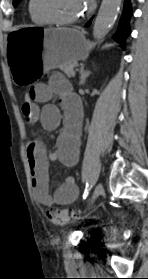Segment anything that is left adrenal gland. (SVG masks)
Masks as SVG:
<instances>
[{
    "mask_svg": "<svg viewBox=\"0 0 148 279\" xmlns=\"http://www.w3.org/2000/svg\"><path fill=\"white\" fill-rule=\"evenodd\" d=\"M91 75L90 71H85L84 67H81L80 69V81L79 85H83L86 81V79Z\"/></svg>",
    "mask_w": 148,
    "mask_h": 279,
    "instance_id": "obj_1",
    "label": "left adrenal gland"
}]
</instances>
